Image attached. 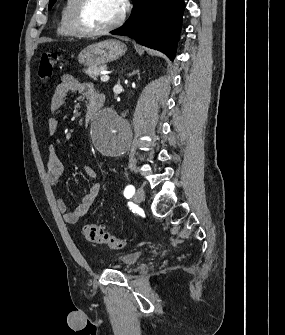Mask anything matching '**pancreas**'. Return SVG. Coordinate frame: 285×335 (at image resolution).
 I'll return each mask as SVG.
<instances>
[{"instance_id": "pancreas-1", "label": "pancreas", "mask_w": 285, "mask_h": 335, "mask_svg": "<svg viewBox=\"0 0 285 335\" xmlns=\"http://www.w3.org/2000/svg\"><path fill=\"white\" fill-rule=\"evenodd\" d=\"M102 70H107L106 66H90V68L86 70L87 74H89L88 79L93 81L97 72H102Z\"/></svg>"}]
</instances>
